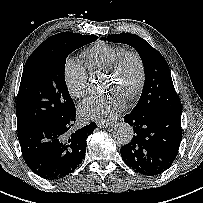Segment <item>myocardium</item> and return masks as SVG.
Returning a JSON list of instances; mask_svg holds the SVG:
<instances>
[{
    "label": "myocardium",
    "mask_w": 203,
    "mask_h": 203,
    "mask_svg": "<svg viewBox=\"0 0 203 203\" xmlns=\"http://www.w3.org/2000/svg\"><path fill=\"white\" fill-rule=\"evenodd\" d=\"M128 59L135 60L138 66V77L136 84L134 88L125 96L127 100H133L141 93L145 83L146 70L141 55L134 50H125L117 57V59L114 61L112 66L107 70V72L110 76H113L120 70V68Z\"/></svg>",
    "instance_id": "f54148a6"
}]
</instances>
